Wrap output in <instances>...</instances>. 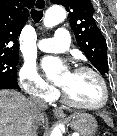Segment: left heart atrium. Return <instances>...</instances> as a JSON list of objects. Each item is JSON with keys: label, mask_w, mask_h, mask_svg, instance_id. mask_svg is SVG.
<instances>
[{"label": "left heart atrium", "mask_w": 117, "mask_h": 136, "mask_svg": "<svg viewBox=\"0 0 117 136\" xmlns=\"http://www.w3.org/2000/svg\"><path fill=\"white\" fill-rule=\"evenodd\" d=\"M43 67L51 79H53L56 83H58L62 87H65L67 80L71 75V72L66 69V67L59 59L47 58L43 61ZM60 68H63L65 71L61 77L57 78L56 72Z\"/></svg>", "instance_id": "39dd6f15"}]
</instances>
